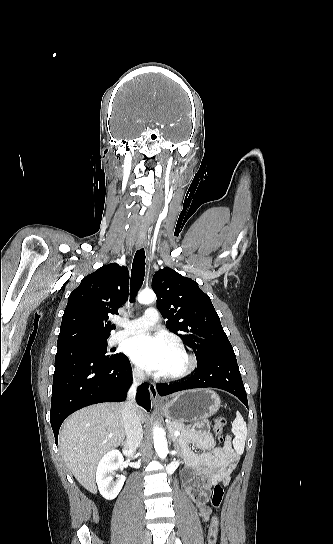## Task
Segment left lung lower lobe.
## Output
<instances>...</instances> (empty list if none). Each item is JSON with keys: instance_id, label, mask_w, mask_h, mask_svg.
I'll list each match as a JSON object with an SVG mask.
<instances>
[{"instance_id": "left-lung-lower-lobe-1", "label": "left lung lower lobe", "mask_w": 333, "mask_h": 544, "mask_svg": "<svg viewBox=\"0 0 333 544\" xmlns=\"http://www.w3.org/2000/svg\"><path fill=\"white\" fill-rule=\"evenodd\" d=\"M207 387L230 392L248 408L247 395L235 356H211L198 362L195 373L186 381L179 384H159L157 390L161 396H165L181 390Z\"/></svg>"}]
</instances>
